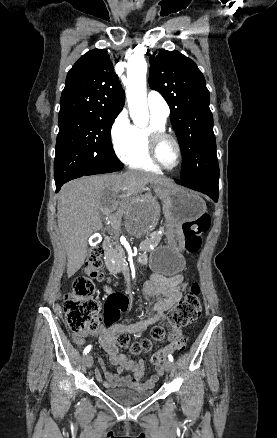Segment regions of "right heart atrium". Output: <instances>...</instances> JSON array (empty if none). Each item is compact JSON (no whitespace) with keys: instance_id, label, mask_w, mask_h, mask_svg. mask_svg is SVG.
Returning a JSON list of instances; mask_svg holds the SVG:
<instances>
[{"instance_id":"right-heart-atrium-1","label":"right heart atrium","mask_w":277,"mask_h":438,"mask_svg":"<svg viewBox=\"0 0 277 438\" xmlns=\"http://www.w3.org/2000/svg\"><path fill=\"white\" fill-rule=\"evenodd\" d=\"M111 136L117 151H120L128 144L131 136V125L123 113L119 114L114 121Z\"/></svg>"}]
</instances>
